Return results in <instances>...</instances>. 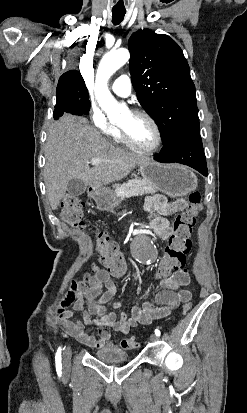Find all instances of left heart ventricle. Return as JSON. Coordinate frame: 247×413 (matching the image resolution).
Segmentation results:
<instances>
[{
    "instance_id": "1",
    "label": "left heart ventricle",
    "mask_w": 247,
    "mask_h": 413,
    "mask_svg": "<svg viewBox=\"0 0 247 413\" xmlns=\"http://www.w3.org/2000/svg\"><path fill=\"white\" fill-rule=\"evenodd\" d=\"M125 124L132 127L125 128V130L139 144L143 146H152L156 142V130L152 128L146 119L142 117L132 118L128 115L125 119Z\"/></svg>"
}]
</instances>
